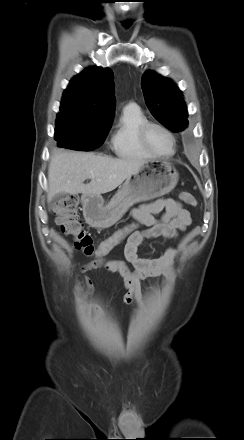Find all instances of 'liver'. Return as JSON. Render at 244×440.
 <instances>
[{
  "instance_id": "1",
  "label": "liver",
  "mask_w": 244,
  "mask_h": 440,
  "mask_svg": "<svg viewBox=\"0 0 244 440\" xmlns=\"http://www.w3.org/2000/svg\"><path fill=\"white\" fill-rule=\"evenodd\" d=\"M146 163L142 159H115L90 152L55 151L48 167V200L57 194L94 196L116 189ZM90 179L89 184H84Z\"/></svg>"
}]
</instances>
